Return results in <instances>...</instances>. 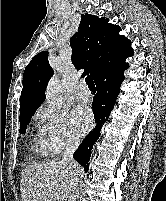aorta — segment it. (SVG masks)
I'll list each match as a JSON object with an SVG mask.
<instances>
[{
  "mask_svg": "<svg viewBox=\"0 0 166 201\" xmlns=\"http://www.w3.org/2000/svg\"><path fill=\"white\" fill-rule=\"evenodd\" d=\"M46 101L52 108H60L65 101L62 86L57 78L52 79L47 86Z\"/></svg>",
  "mask_w": 166,
  "mask_h": 201,
  "instance_id": "aorta-1",
  "label": "aorta"
}]
</instances>
